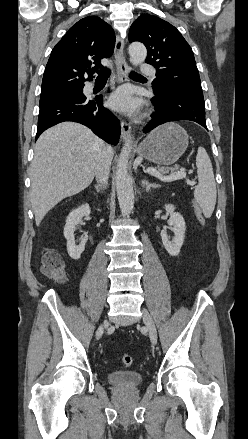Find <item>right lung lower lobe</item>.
Returning a JSON list of instances; mask_svg holds the SVG:
<instances>
[{
	"label": "right lung lower lobe",
	"instance_id": "right-lung-lower-lobe-1",
	"mask_svg": "<svg viewBox=\"0 0 248 439\" xmlns=\"http://www.w3.org/2000/svg\"><path fill=\"white\" fill-rule=\"evenodd\" d=\"M64 121L81 123L112 145L119 141L120 123L103 107L102 96L89 99L80 93L40 107L36 140L46 129Z\"/></svg>",
	"mask_w": 248,
	"mask_h": 439
}]
</instances>
